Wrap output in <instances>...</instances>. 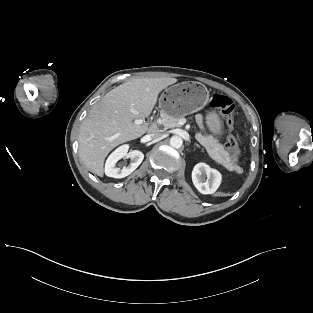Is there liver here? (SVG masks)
I'll list each match as a JSON object with an SVG mask.
<instances>
[{
  "label": "liver",
  "instance_id": "1",
  "mask_svg": "<svg viewBox=\"0 0 313 313\" xmlns=\"http://www.w3.org/2000/svg\"><path fill=\"white\" fill-rule=\"evenodd\" d=\"M176 82V78L169 77L133 79L109 91L93 106L78 138L80 158L92 173L102 177L109 152L148 130L147 122L138 125L135 120L147 117L159 93ZM130 108L139 114L131 113Z\"/></svg>",
  "mask_w": 313,
  "mask_h": 313
}]
</instances>
